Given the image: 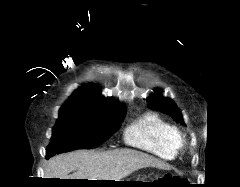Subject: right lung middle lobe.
I'll list each match as a JSON object with an SVG mask.
<instances>
[{"instance_id": "dd1d6c3e", "label": "right lung middle lobe", "mask_w": 240, "mask_h": 187, "mask_svg": "<svg viewBox=\"0 0 240 187\" xmlns=\"http://www.w3.org/2000/svg\"><path fill=\"white\" fill-rule=\"evenodd\" d=\"M124 114V110L97 113L60 109L46 158L61 152L97 147L118 128Z\"/></svg>"}]
</instances>
